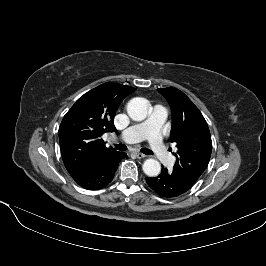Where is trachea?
<instances>
[{"mask_svg": "<svg viewBox=\"0 0 266 266\" xmlns=\"http://www.w3.org/2000/svg\"><path fill=\"white\" fill-rule=\"evenodd\" d=\"M115 148L117 150H119V151H125L127 149V147L125 145H123V144H116ZM142 151H143L144 154H147V155L153 154L152 151L149 150V149H143Z\"/></svg>", "mask_w": 266, "mask_h": 266, "instance_id": "obj_1", "label": "trachea"}]
</instances>
